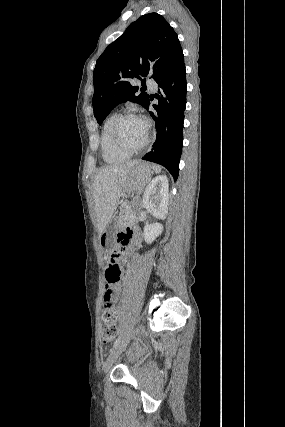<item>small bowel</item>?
Instances as JSON below:
<instances>
[{"instance_id":"obj_1","label":"small bowel","mask_w":285,"mask_h":427,"mask_svg":"<svg viewBox=\"0 0 285 427\" xmlns=\"http://www.w3.org/2000/svg\"><path fill=\"white\" fill-rule=\"evenodd\" d=\"M120 243L122 245H130L133 249H136L140 245V234L138 229H127V237L121 238ZM120 294H121V287L119 285L112 288L111 295L104 294V302L106 300H110L113 303H117L120 300ZM122 310V308H119V312Z\"/></svg>"}]
</instances>
